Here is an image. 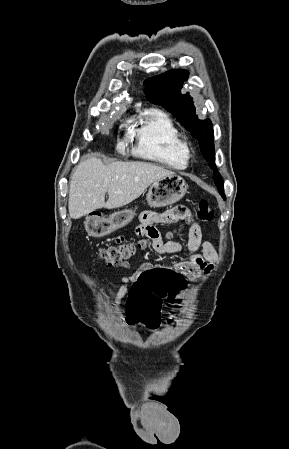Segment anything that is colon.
Returning a JSON list of instances; mask_svg holds the SVG:
<instances>
[{
	"instance_id": "5ec220e1",
	"label": "colon",
	"mask_w": 289,
	"mask_h": 449,
	"mask_svg": "<svg viewBox=\"0 0 289 449\" xmlns=\"http://www.w3.org/2000/svg\"><path fill=\"white\" fill-rule=\"evenodd\" d=\"M214 213L206 200L197 204L194 218L201 222H209ZM91 227L96 225L95 221L89 222ZM146 246L145 241L139 243H117L101 249L98 256L109 266H119L127 262L138 249ZM185 285L181 271L174 268H144L140 271L138 279L133 283L130 297L126 303L128 320L136 323L140 320L139 310H142V320L149 328H157L160 323L162 305H166L168 295L173 297L174 293Z\"/></svg>"
}]
</instances>
